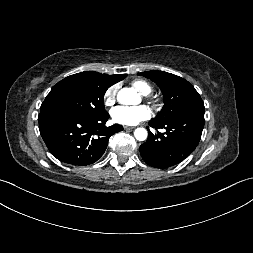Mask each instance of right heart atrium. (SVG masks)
<instances>
[{"label":"right heart atrium","instance_id":"obj_1","mask_svg":"<svg viewBox=\"0 0 253 253\" xmlns=\"http://www.w3.org/2000/svg\"><path fill=\"white\" fill-rule=\"evenodd\" d=\"M117 93H118V85L117 84H113V85L109 86L105 90L104 95H103L104 104L109 107L112 106L116 101Z\"/></svg>","mask_w":253,"mask_h":253}]
</instances>
